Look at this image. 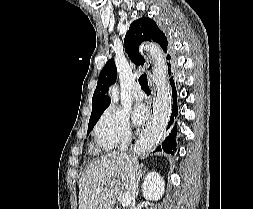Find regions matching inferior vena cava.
I'll use <instances>...</instances> for the list:
<instances>
[{
    "label": "inferior vena cava",
    "mask_w": 253,
    "mask_h": 209,
    "mask_svg": "<svg viewBox=\"0 0 253 209\" xmlns=\"http://www.w3.org/2000/svg\"><path fill=\"white\" fill-rule=\"evenodd\" d=\"M130 139H131V136L129 135V136H126L122 140V142L118 148L119 153L124 154L127 151ZM130 173H131L132 196L134 199L137 194V176H136V173L134 172L132 167H130Z\"/></svg>",
    "instance_id": "602c4592"
}]
</instances>
